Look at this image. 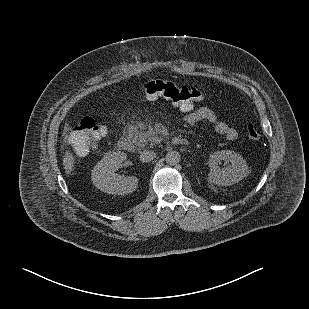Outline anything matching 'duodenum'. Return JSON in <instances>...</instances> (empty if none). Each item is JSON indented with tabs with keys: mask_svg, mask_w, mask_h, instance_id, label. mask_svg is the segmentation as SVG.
Listing matches in <instances>:
<instances>
[{
	"mask_svg": "<svg viewBox=\"0 0 309 309\" xmlns=\"http://www.w3.org/2000/svg\"><path fill=\"white\" fill-rule=\"evenodd\" d=\"M174 142L181 145H186L188 143V141L185 138L181 137H175ZM118 147L119 149L124 151H132L134 149V144L129 138L122 137L118 141Z\"/></svg>",
	"mask_w": 309,
	"mask_h": 309,
	"instance_id": "duodenum-1",
	"label": "duodenum"
}]
</instances>
